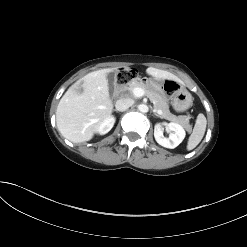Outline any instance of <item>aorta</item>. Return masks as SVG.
I'll return each mask as SVG.
<instances>
[{"label":"aorta","instance_id":"obj_1","mask_svg":"<svg viewBox=\"0 0 247 247\" xmlns=\"http://www.w3.org/2000/svg\"><path fill=\"white\" fill-rule=\"evenodd\" d=\"M138 109H139V111L142 112V113H147L148 110H149V108H148V106H147L146 104H140V105L138 106Z\"/></svg>","mask_w":247,"mask_h":247}]
</instances>
